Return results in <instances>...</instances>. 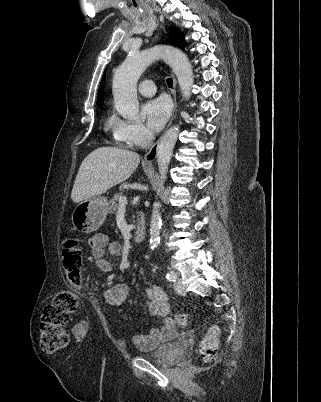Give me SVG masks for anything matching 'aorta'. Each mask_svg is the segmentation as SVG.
<instances>
[{"instance_id":"1","label":"aorta","mask_w":321,"mask_h":402,"mask_svg":"<svg viewBox=\"0 0 321 402\" xmlns=\"http://www.w3.org/2000/svg\"><path fill=\"white\" fill-rule=\"evenodd\" d=\"M158 59H163L175 73L183 97L188 100L194 83L193 71L188 57L179 49L171 46H154L139 52L131 51L124 62L117 68L113 78V97L116 110L129 120L139 119V102L137 98V82L146 68ZM179 135V125L167 130L161 138L157 150V163L160 180L157 195L162 188L173 148ZM160 203H153L150 221V248L155 249L160 242L161 213Z\"/></svg>"}]
</instances>
